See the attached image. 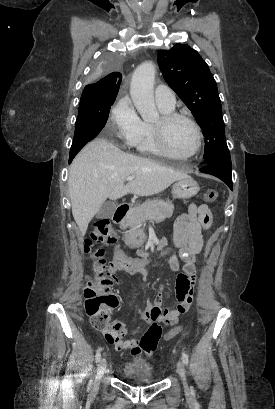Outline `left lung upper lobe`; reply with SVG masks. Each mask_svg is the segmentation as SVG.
<instances>
[{
    "label": "left lung upper lobe",
    "instance_id": "obj_1",
    "mask_svg": "<svg viewBox=\"0 0 275 409\" xmlns=\"http://www.w3.org/2000/svg\"><path fill=\"white\" fill-rule=\"evenodd\" d=\"M157 60L165 81L191 110L206 137L205 162L231 166L221 101L206 62L197 51L179 43L170 50H159Z\"/></svg>",
    "mask_w": 275,
    "mask_h": 409
}]
</instances>
